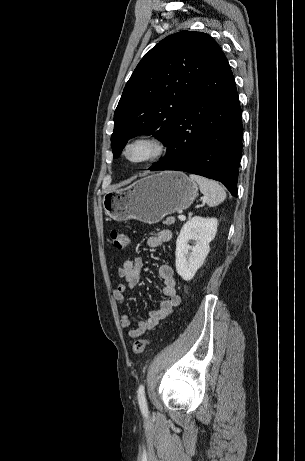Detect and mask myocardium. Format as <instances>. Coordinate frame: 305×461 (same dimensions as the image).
Here are the masks:
<instances>
[{
    "label": "myocardium",
    "instance_id": "1",
    "mask_svg": "<svg viewBox=\"0 0 305 461\" xmlns=\"http://www.w3.org/2000/svg\"><path fill=\"white\" fill-rule=\"evenodd\" d=\"M142 144L149 148V152L144 157L133 160L128 156V151L132 146ZM167 151V143L162 136L157 133L147 132L138 134L130 138L122 148L123 159L134 166H142L151 163L162 157Z\"/></svg>",
    "mask_w": 305,
    "mask_h": 461
}]
</instances>
